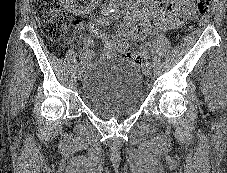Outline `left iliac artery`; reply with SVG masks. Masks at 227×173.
Returning a JSON list of instances; mask_svg holds the SVG:
<instances>
[{"instance_id":"44dca946","label":"left iliac artery","mask_w":227,"mask_h":173,"mask_svg":"<svg viewBox=\"0 0 227 173\" xmlns=\"http://www.w3.org/2000/svg\"><path fill=\"white\" fill-rule=\"evenodd\" d=\"M145 65H147V66H149V67H152L151 62H149V61H147Z\"/></svg>"}]
</instances>
